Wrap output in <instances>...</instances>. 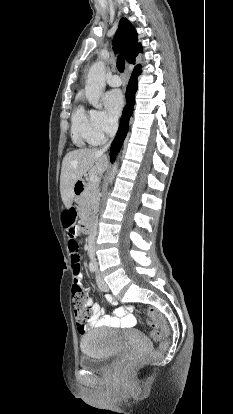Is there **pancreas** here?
I'll return each instance as SVG.
<instances>
[{"mask_svg":"<svg viewBox=\"0 0 233 414\" xmlns=\"http://www.w3.org/2000/svg\"><path fill=\"white\" fill-rule=\"evenodd\" d=\"M79 217L84 219L91 214V210L98 205V186L87 182L83 194L78 199Z\"/></svg>","mask_w":233,"mask_h":414,"instance_id":"pancreas-1","label":"pancreas"}]
</instances>
